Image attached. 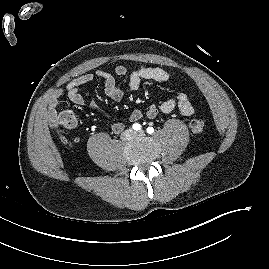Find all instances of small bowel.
<instances>
[{
	"instance_id": "obj_1",
	"label": "small bowel",
	"mask_w": 269,
	"mask_h": 269,
	"mask_svg": "<svg viewBox=\"0 0 269 269\" xmlns=\"http://www.w3.org/2000/svg\"><path fill=\"white\" fill-rule=\"evenodd\" d=\"M128 74V70L125 66L120 65L115 69V75L103 70H97L95 73H86L72 79L65 88H59L53 91L49 98L48 113L53 119H59V117L68 111L59 112L58 106L60 98L66 95L67 98L75 105H83L84 98L79 92V88L92 82L95 78H100L104 81V91L107 97L114 101H120L123 97V90L118 86L117 79L125 77ZM170 80V74L162 68L151 67L147 65H139L134 68L128 75V91H136L139 89L144 81H155L165 83ZM91 107L103 115H106L101 107L94 101L91 102ZM175 109H178L179 113L183 117H190L194 113V108L189 96L185 93H180L174 98L165 100L159 106L150 105L145 113L141 110H134L130 116V122H137L145 115L149 119L157 117L159 112L169 114ZM124 129V124L117 122L113 124L112 131L115 134L120 133Z\"/></svg>"
}]
</instances>
